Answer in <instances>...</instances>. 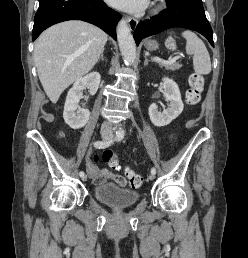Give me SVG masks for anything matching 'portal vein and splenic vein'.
<instances>
[{
	"label": "portal vein and splenic vein",
	"mask_w": 248,
	"mask_h": 258,
	"mask_svg": "<svg viewBox=\"0 0 248 258\" xmlns=\"http://www.w3.org/2000/svg\"><path fill=\"white\" fill-rule=\"evenodd\" d=\"M179 58H180V56H175L174 58L169 59L168 61H166V60L161 59L160 57L155 56V57H153V60L154 61L164 62V63H173V62H175Z\"/></svg>",
	"instance_id": "obj_1"
}]
</instances>
